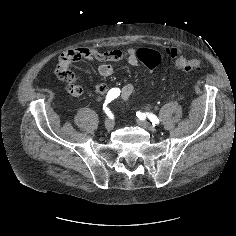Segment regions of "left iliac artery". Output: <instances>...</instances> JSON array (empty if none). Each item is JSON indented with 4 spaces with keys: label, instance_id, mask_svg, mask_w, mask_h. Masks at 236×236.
<instances>
[{
    "label": "left iliac artery",
    "instance_id": "1",
    "mask_svg": "<svg viewBox=\"0 0 236 236\" xmlns=\"http://www.w3.org/2000/svg\"><path fill=\"white\" fill-rule=\"evenodd\" d=\"M136 115L140 119H144L147 116L150 119V121L152 122L153 125H158L159 124V119L157 118V116H155L152 113L145 114V113L137 112Z\"/></svg>",
    "mask_w": 236,
    "mask_h": 236
}]
</instances>
